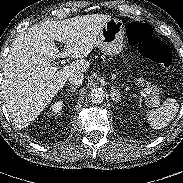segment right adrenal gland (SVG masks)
Listing matches in <instances>:
<instances>
[{
	"instance_id": "2a0ac1e0",
	"label": "right adrenal gland",
	"mask_w": 183,
	"mask_h": 183,
	"mask_svg": "<svg viewBox=\"0 0 183 183\" xmlns=\"http://www.w3.org/2000/svg\"><path fill=\"white\" fill-rule=\"evenodd\" d=\"M78 87L77 86H72V87H70L69 89H68V92H75L76 91V89H77Z\"/></svg>"
}]
</instances>
